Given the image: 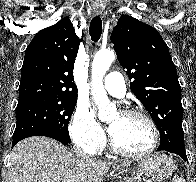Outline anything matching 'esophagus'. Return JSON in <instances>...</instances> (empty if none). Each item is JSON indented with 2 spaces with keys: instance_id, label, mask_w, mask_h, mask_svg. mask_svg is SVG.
<instances>
[{
  "instance_id": "obj_1",
  "label": "esophagus",
  "mask_w": 196,
  "mask_h": 182,
  "mask_svg": "<svg viewBox=\"0 0 196 182\" xmlns=\"http://www.w3.org/2000/svg\"><path fill=\"white\" fill-rule=\"evenodd\" d=\"M101 8L100 7H94L93 8V13L95 14V15H99V14H101Z\"/></svg>"
}]
</instances>
